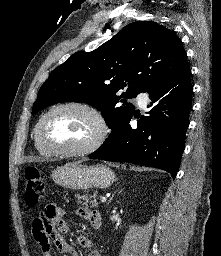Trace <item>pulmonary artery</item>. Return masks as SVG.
I'll return each instance as SVG.
<instances>
[{
  "instance_id": "pulmonary-artery-1",
  "label": "pulmonary artery",
  "mask_w": 221,
  "mask_h": 256,
  "mask_svg": "<svg viewBox=\"0 0 221 256\" xmlns=\"http://www.w3.org/2000/svg\"><path fill=\"white\" fill-rule=\"evenodd\" d=\"M138 104L141 106V107H145L148 103V95L146 93H140L137 98H136Z\"/></svg>"
}]
</instances>
